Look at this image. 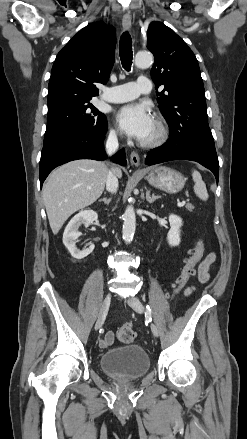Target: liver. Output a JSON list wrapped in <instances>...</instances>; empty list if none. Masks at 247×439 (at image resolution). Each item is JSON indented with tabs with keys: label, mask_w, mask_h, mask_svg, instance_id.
Segmentation results:
<instances>
[{
	"label": "liver",
	"mask_w": 247,
	"mask_h": 439,
	"mask_svg": "<svg viewBox=\"0 0 247 439\" xmlns=\"http://www.w3.org/2000/svg\"><path fill=\"white\" fill-rule=\"evenodd\" d=\"M121 177L119 168H114ZM108 168L105 163L80 159L55 169L42 192L49 224L57 234L65 221L76 211L93 204L103 193Z\"/></svg>",
	"instance_id": "obj_1"
}]
</instances>
